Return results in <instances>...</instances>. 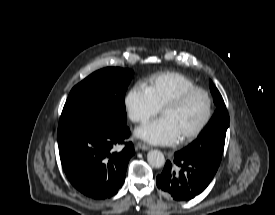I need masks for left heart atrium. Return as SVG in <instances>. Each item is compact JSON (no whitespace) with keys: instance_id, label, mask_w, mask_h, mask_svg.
Returning <instances> with one entry per match:
<instances>
[{"instance_id":"1","label":"left heart atrium","mask_w":275,"mask_h":215,"mask_svg":"<svg viewBox=\"0 0 275 215\" xmlns=\"http://www.w3.org/2000/svg\"><path fill=\"white\" fill-rule=\"evenodd\" d=\"M135 134L139 138L157 145H171L180 139L174 124L165 117L137 128Z\"/></svg>"}]
</instances>
